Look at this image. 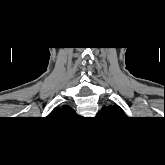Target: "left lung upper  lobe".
<instances>
[{
	"label": "left lung upper lobe",
	"instance_id": "left-lung-upper-lobe-1",
	"mask_svg": "<svg viewBox=\"0 0 165 165\" xmlns=\"http://www.w3.org/2000/svg\"><path fill=\"white\" fill-rule=\"evenodd\" d=\"M100 113L106 114V115H115V116H124L123 110L118 105L113 106H104Z\"/></svg>",
	"mask_w": 165,
	"mask_h": 165
}]
</instances>
